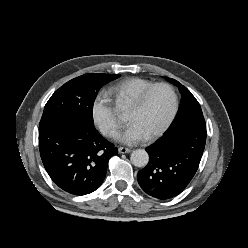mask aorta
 Returning a JSON list of instances; mask_svg holds the SVG:
<instances>
[{
    "instance_id": "aorta-1",
    "label": "aorta",
    "mask_w": 248,
    "mask_h": 248,
    "mask_svg": "<svg viewBox=\"0 0 248 248\" xmlns=\"http://www.w3.org/2000/svg\"><path fill=\"white\" fill-rule=\"evenodd\" d=\"M130 160L136 167H145L149 161V155L144 149H136L131 153Z\"/></svg>"
}]
</instances>
